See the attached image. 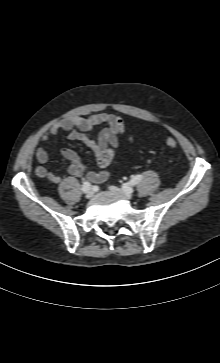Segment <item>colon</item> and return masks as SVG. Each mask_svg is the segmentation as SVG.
<instances>
[{"mask_svg":"<svg viewBox=\"0 0 220 363\" xmlns=\"http://www.w3.org/2000/svg\"><path fill=\"white\" fill-rule=\"evenodd\" d=\"M165 144L169 149H174L177 146V143H176L175 139L172 138V137H167L165 139ZM113 157H114V151L109 149L107 154H106V161L110 162Z\"/></svg>","mask_w":220,"mask_h":363,"instance_id":"obj_1","label":"colon"}]
</instances>
